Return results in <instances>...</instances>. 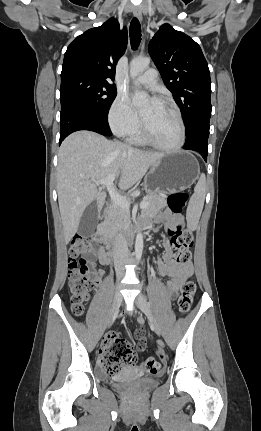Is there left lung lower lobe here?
Masks as SVG:
<instances>
[{
    "mask_svg": "<svg viewBox=\"0 0 261 431\" xmlns=\"http://www.w3.org/2000/svg\"><path fill=\"white\" fill-rule=\"evenodd\" d=\"M209 124L199 125L193 133L187 136L184 149L199 152L205 161H207Z\"/></svg>",
    "mask_w": 261,
    "mask_h": 431,
    "instance_id": "left-lung-lower-lobe-1",
    "label": "left lung lower lobe"
}]
</instances>
